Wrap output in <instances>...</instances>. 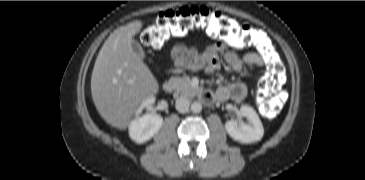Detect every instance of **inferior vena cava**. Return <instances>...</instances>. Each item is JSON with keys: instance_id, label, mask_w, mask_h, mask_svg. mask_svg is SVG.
<instances>
[{"instance_id": "obj_1", "label": "inferior vena cava", "mask_w": 365, "mask_h": 180, "mask_svg": "<svg viewBox=\"0 0 365 180\" xmlns=\"http://www.w3.org/2000/svg\"><path fill=\"white\" fill-rule=\"evenodd\" d=\"M190 101L187 97L181 96L176 99L175 107L180 113H185L189 110Z\"/></svg>"}]
</instances>
